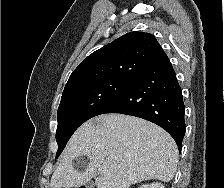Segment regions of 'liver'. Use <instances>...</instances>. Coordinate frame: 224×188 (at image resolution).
Returning a JSON list of instances; mask_svg holds the SVG:
<instances>
[{"label":"liver","mask_w":224,"mask_h":188,"mask_svg":"<svg viewBox=\"0 0 224 188\" xmlns=\"http://www.w3.org/2000/svg\"><path fill=\"white\" fill-rule=\"evenodd\" d=\"M83 155L89 163L79 171L73 161ZM178 155L175 141L161 127L128 115H99L73 134L50 186L81 187L99 169L107 174L99 171L97 188H129L150 179L169 182L175 175Z\"/></svg>","instance_id":"1"}]
</instances>
